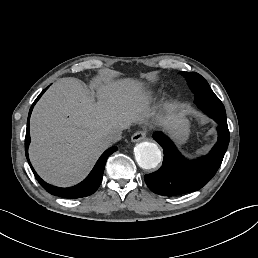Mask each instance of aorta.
I'll list each match as a JSON object with an SVG mask.
<instances>
[{
	"label": "aorta",
	"mask_w": 258,
	"mask_h": 258,
	"mask_svg": "<svg viewBox=\"0 0 258 258\" xmlns=\"http://www.w3.org/2000/svg\"><path fill=\"white\" fill-rule=\"evenodd\" d=\"M135 159L143 169L156 168L161 162L162 154L158 145L151 142H142L134 148Z\"/></svg>",
	"instance_id": "1"
}]
</instances>
